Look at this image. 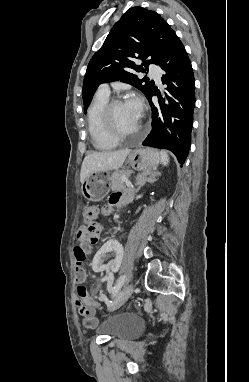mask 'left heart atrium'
Segmentation results:
<instances>
[{
	"mask_svg": "<svg viewBox=\"0 0 249 382\" xmlns=\"http://www.w3.org/2000/svg\"><path fill=\"white\" fill-rule=\"evenodd\" d=\"M126 103L138 117H141L142 102L138 97H131L126 101Z\"/></svg>",
	"mask_w": 249,
	"mask_h": 382,
	"instance_id": "obj_1",
	"label": "left heart atrium"
}]
</instances>
